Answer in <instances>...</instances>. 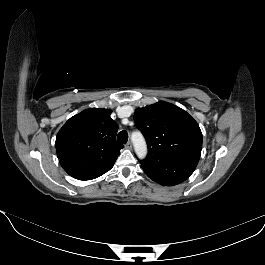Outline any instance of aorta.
Instances as JSON below:
<instances>
[{"label": "aorta", "instance_id": "762f6f07", "mask_svg": "<svg viewBox=\"0 0 265 265\" xmlns=\"http://www.w3.org/2000/svg\"><path fill=\"white\" fill-rule=\"evenodd\" d=\"M132 141H133L135 152H136L137 156L140 159H143L147 154V148H146V143H145L144 138L142 137V135L140 133H138L137 137H135V135H133Z\"/></svg>", "mask_w": 265, "mask_h": 265}]
</instances>
